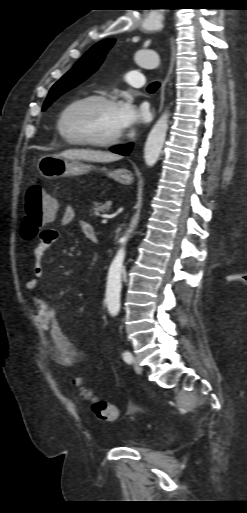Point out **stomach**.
<instances>
[{"mask_svg":"<svg viewBox=\"0 0 247 513\" xmlns=\"http://www.w3.org/2000/svg\"><path fill=\"white\" fill-rule=\"evenodd\" d=\"M38 170L40 174L47 179L76 176L91 171H99L104 172L109 178L124 185H130L133 182L132 174L126 169L113 171L104 167L98 169L93 165L85 164L79 160H68L56 154L42 156L38 162Z\"/></svg>","mask_w":247,"mask_h":513,"instance_id":"0dacf381","label":"stomach"}]
</instances>
